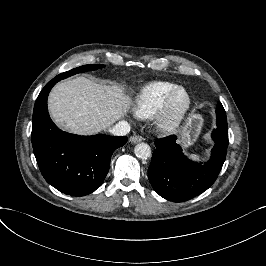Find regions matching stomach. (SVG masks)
<instances>
[{
	"mask_svg": "<svg viewBox=\"0 0 266 266\" xmlns=\"http://www.w3.org/2000/svg\"><path fill=\"white\" fill-rule=\"evenodd\" d=\"M204 123V118L199 113H191L185 125L179 131L181 135L180 143L184 148L193 145L197 140Z\"/></svg>",
	"mask_w": 266,
	"mask_h": 266,
	"instance_id": "1",
	"label": "stomach"
}]
</instances>
